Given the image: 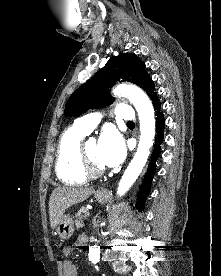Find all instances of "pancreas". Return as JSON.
I'll list each match as a JSON object with an SVG mask.
<instances>
[{
  "label": "pancreas",
  "instance_id": "1",
  "mask_svg": "<svg viewBox=\"0 0 221 276\" xmlns=\"http://www.w3.org/2000/svg\"><path fill=\"white\" fill-rule=\"evenodd\" d=\"M87 212H88V210L85 207H83L76 214L75 225H76L77 229L83 227V220H82V218L86 217V213Z\"/></svg>",
  "mask_w": 221,
  "mask_h": 276
}]
</instances>
